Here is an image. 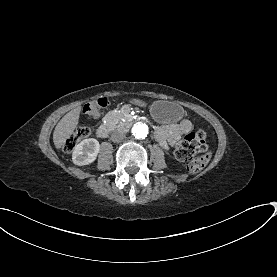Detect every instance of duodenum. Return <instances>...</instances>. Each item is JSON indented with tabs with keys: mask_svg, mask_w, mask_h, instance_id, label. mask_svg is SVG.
Wrapping results in <instances>:
<instances>
[{
	"mask_svg": "<svg viewBox=\"0 0 277 277\" xmlns=\"http://www.w3.org/2000/svg\"><path fill=\"white\" fill-rule=\"evenodd\" d=\"M132 122V119H126L119 123L118 128L120 130L128 129L131 126ZM109 131L110 127L108 125L101 124L96 128L95 134L98 138H105L108 135Z\"/></svg>",
	"mask_w": 277,
	"mask_h": 277,
	"instance_id": "duodenum-1",
	"label": "duodenum"
}]
</instances>
